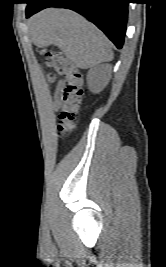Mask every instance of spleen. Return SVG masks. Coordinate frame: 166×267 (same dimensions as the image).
<instances>
[{
	"label": "spleen",
	"instance_id": "1",
	"mask_svg": "<svg viewBox=\"0 0 166 267\" xmlns=\"http://www.w3.org/2000/svg\"><path fill=\"white\" fill-rule=\"evenodd\" d=\"M33 37L37 45H57L81 67H94L113 57L106 36L84 17L67 9L51 8L38 14Z\"/></svg>",
	"mask_w": 166,
	"mask_h": 267
}]
</instances>
